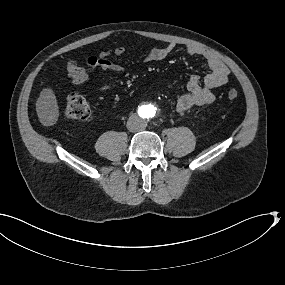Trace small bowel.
Returning a JSON list of instances; mask_svg holds the SVG:
<instances>
[{"instance_id":"c3829d8e","label":"small bowel","mask_w":285,"mask_h":285,"mask_svg":"<svg viewBox=\"0 0 285 285\" xmlns=\"http://www.w3.org/2000/svg\"><path fill=\"white\" fill-rule=\"evenodd\" d=\"M175 44H167L164 47H154L144 53L145 61H161L167 58L175 51ZM185 53L191 56L200 57L206 61L209 72L203 80L197 75H190L187 81V92L178 96L176 108L179 112L186 111L195 106H203L212 103L215 100L213 90L225 85L228 81L229 70L227 66L213 53L195 45H187ZM127 52V47L120 45L113 52L104 51L98 56L90 57L87 65L90 68H97L115 74H121L124 68L109 60L113 53L116 56L123 55ZM117 82L110 80L100 85L101 90H110L116 87Z\"/></svg>"}]
</instances>
